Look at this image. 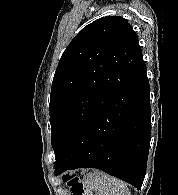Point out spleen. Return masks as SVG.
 <instances>
[{"label":"spleen","mask_w":178,"mask_h":195,"mask_svg":"<svg viewBox=\"0 0 178 195\" xmlns=\"http://www.w3.org/2000/svg\"><path fill=\"white\" fill-rule=\"evenodd\" d=\"M85 184L97 195H131L126 183L102 172L86 175Z\"/></svg>","instance_id":"spleen-1"}]
</instances>
